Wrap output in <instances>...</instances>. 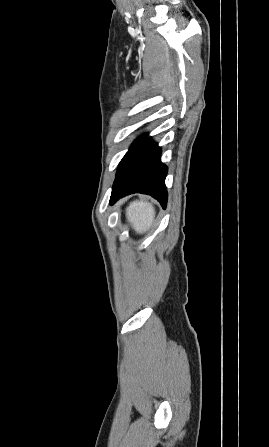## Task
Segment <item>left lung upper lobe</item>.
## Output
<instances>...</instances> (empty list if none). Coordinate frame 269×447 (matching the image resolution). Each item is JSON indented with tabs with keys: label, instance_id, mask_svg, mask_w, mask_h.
Here are the masks:
<instances>
[{
	"label": "left lung upper lobe",
	"instance_id": "1",
	"mask_svg": "<svg viewBox=\"0 0 269 447\" xmlns=\"http://www.w3.org/2000/svg\"><path fill=\"white\" fill-rule=\"evenodd\" d=\"M146 134L139 137L138 139H136V141L132 144V146L130 147L129 151L126 153V155L123 157V159L121 160L118 170L121 167V165L124 163V161L126 160V158L130 155V153L136 148V146H138L145 138H146Z\"/></svg>",
	"mask_w": 269,
	"mask_h": 447
}]
</instances>
